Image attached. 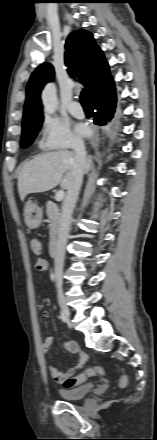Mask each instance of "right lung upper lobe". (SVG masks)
I'll return each instance as SVG.
<instances>
[{
  "instance_id": "right-lung-upper-lobe-1",
  "label": "right lung upper lobe",
  "mask_w": 157,
  "mask_h": 440,
  "mask_svg": "<svg viewBox=\"0 0 157 440\" xmlns=\"http://www.w3.org/2000/svg\"><path fill=\"white\" fill-rule=\"evenodd\" d=\"M65 48L68 72L79 77L94 103L115 92L108 63L90 32L83 29L73 31L66 40ZM53 77V67L48 63L40 65L32 73L27 85L23 126L43 121L40 92L47 82L53 81Z\"/></svg>"
}]
</instances>
